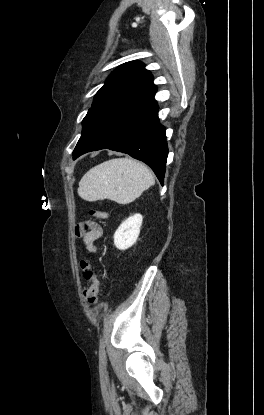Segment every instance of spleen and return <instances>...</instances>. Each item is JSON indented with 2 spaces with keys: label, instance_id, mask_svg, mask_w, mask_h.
<instances>
[{
  "label": "spleen",
  "instance_id": "spleen-1",
  "mask_svg": "<svg viewBox=\"0 0 264 415\" xmlns=\"http://www.w3.org/2000/svg\"><path fill=\"white\" fill-rule=\"evenodd\" d=\"M154 175L131 158H115L87 171L79 182L78 194L86 201L109 199L128 204L154 185Z\"/></svg>",
  "mask_w": 264,
  "mask_h": 415
}]
</instances>
